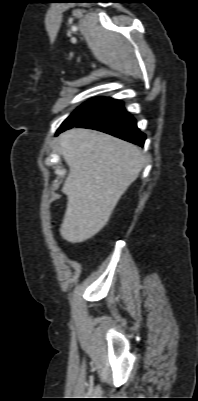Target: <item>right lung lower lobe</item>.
<instances>
[{
	"label": "right lung lower lobe",
	"instance_id": "right-lung-lower-lobe-1",
	"mask_svg": "<svg viewBox=\"0 0 198 401\" xmlns=\"http://www.w3.org/2000/svg\"><path fill=\"white\" fill-rule=\"evenodd\" d=\"M74 127L99 130L139 146H143L146 138L137 128L135 119L125 110L123 102L111 98Z\"/></svg>",
	"mask_w": 198,
	"mask_h": 401
}]
</instances>
